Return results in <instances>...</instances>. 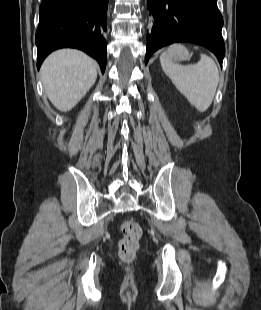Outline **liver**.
<instances>
[{"instance_id": "1", "label": "liver", "mask_w": 261, "mask_h": 310, "mask_svg": "<svg viewBox=\"0 0 261 310\" xmlns=\"http://www.w3.org/2000/svg\"><path fill=\"white\" fill-rule=\"evenodd\" d=\"M97 78L96 62L85 53L62 49L49 55L41 67L47 97L60 111H70Z\"/></svg>"}]
</instances>
